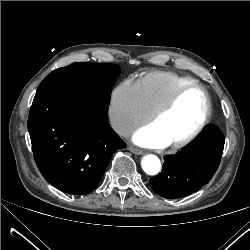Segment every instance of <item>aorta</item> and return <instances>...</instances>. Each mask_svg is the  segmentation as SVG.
Wrapping results in <instances>:
<instances>
[{
	"instance_id": "762f6f07",
	"label": "aorta",
	"mask_w": 250,
	"mask_h": 250,
	"mask_svg": "<svg viewBox=\"0 0 250 250\" xmlns=\"http://www.w3.org/2000/svg\"><path fill=\"white\" fill-rule=\"evenodd\" d=\"M141 165L144 172L148 175H156L161 168L159 158L152 154L144 156Z\"/></svg>"
}]
</instances>
